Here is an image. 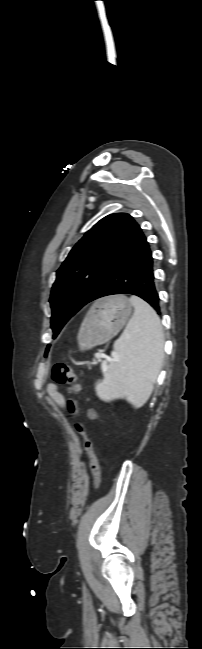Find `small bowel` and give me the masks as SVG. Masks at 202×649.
<instances>
[{"label": "small bowel", "instance_id": "1", "mask_svg": "<svg viewBox=\"0 0 202 649\" xmlns=\"http://www.w3.org/2000/svg\"><path fill=\"white\" fill-rule=\"evenodd\" d=\"M48 394L56 405H58L60 408L64 406L65 399L62 393L59 391L57 385L50 384L48 386Z\"/></svg>", "mask_w": 202, "mask_h": 649}]
</instances>
